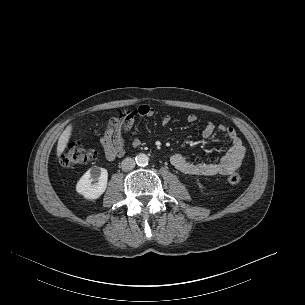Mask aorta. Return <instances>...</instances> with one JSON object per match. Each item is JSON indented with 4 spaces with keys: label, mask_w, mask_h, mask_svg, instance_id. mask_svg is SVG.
I'll return each instance as SVG.
<instances>
[{
    "label": "aorta",
    "mask_w": 305,
    "mask_h": 305,
    "mask_svg": "<svg viewBox=\"0 0 305 305\" xmlns=\"http://www.w3.org/2000/svg\"><path fill=\"white\" fill-rule=\"evenodd\" d=\"M136 164L138 166H146L149 162V157L145 153H139L135 157Z\"/></svg>",
    "instance_id": "obj_1"
}]
</instances>
